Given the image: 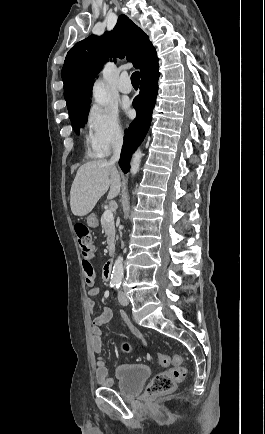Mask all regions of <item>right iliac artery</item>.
<instances>
[{"label":"right iliac artery","instance_id":"1","mask_svg":"<svg viewBox=\"0 0 265 434\" xmlns=\"http://www.w3.org/2000/svg\"><path fill=\"white\" fill-rule=\"evenodd\" d=\"M116 285H117L116 282L111 281L109 286H110V288H113V287L116 286Z\"/></svg>","mask_w":265,"mask_h":434}]
</instances>
